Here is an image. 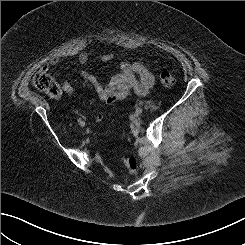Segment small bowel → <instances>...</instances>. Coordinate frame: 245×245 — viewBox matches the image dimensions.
<instances>
[{"label":"small bowel","mask_w":245,"mask_h":245,"mask_svg":"<svg viewBox=\"0 0 245 245\" xmlns=\"http://www.w3.org/2000/svg\"><path fill=\"white\" fill-rule=\"evenodd\" d=\"M110 59V55H104L101 60L107 61ZM88 55L81 53L78 56V61L81 64L86 63ZM58 63L57 58L50 60L51 65ZM81 77L86 80L97 93L100 100L105 104L110 105L113 102L124 99L131 91H134L137 95L145 96L153 88L154 76L141 61L125 60L119 66V71L111 76L108 83H101L93 74L89 71L82 69L80 71ZM62 91L71 95L74 92L72 85L68 81L62 83ZM103 118L101 113H97L94 116V120L99 122Z\"/></svg>","instance_id":"obj_1"}]
</instances>
